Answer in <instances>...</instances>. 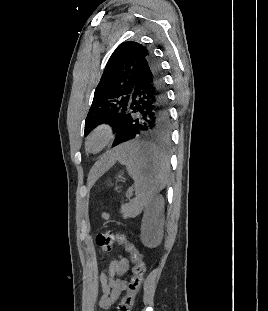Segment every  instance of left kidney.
Here are the masks:
<instances>
[{
	"instance_id": "left-kidney-1",
	"label": "left kidney",
	"mask_w": 268,
	"mask_h": 311,
	"mask_svg": "<svg viewBox=\"0 0 268 311\" xmlns=\"http://www.w3.org/2000/svg\"><path fill=\"white\" fill-rule=\"evenodd\" d=\"M164 200L157 197L146 210L141 224V241L148 248L157 247L163 237Z\"/></svg>"
}]
</instances>
